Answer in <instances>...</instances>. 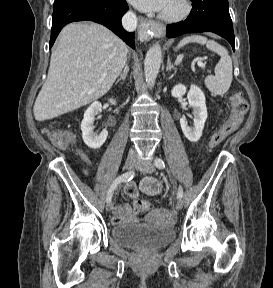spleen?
<instances>
[{"label":"spleen","instance_id":"1","mask_svg":"<svg viewBox=\"0 0 273 288\" xmlns=\"http://www.w3.org/2000/svg\"><path fill=\"white\" fill-rule=\"evenodd\" d=\"M188 43H199L217 53L220 56L219 62L215 66V75H209L205 79L206 87L214 95H223L228 91L232 82V60L227 50L214 40H208L201 35H191L183 38L177 45V49Z\"/></svg>","mask_w":273,"mask_h":288}]
</instances>
